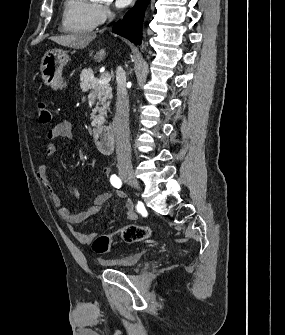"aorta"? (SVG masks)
I'll use <instances>...</instances> for the list:
<instances>
[{"label":"aorta","mask_w":285,"mask_h":335,"mask_svg":"<svg viewBox=\"0 0 285 335\" xmlns=\"http://www.w3.org/2000/svg\"><path fill=\"white\" fill-rule=\"evenodd\" d=\"M91 2H97V0H91Z\"/></svg>","instance_id":"obj_1"}]
</instances>
